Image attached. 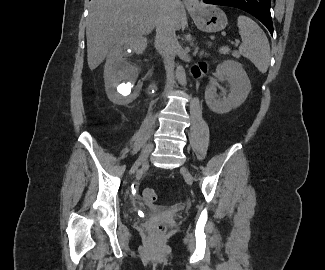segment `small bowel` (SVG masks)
Listing matches in <instances>:
<instances>
[{
	"mask_svg": "<svg viewBox=\"0 0 325 270\" xmlns=\"http://www.w3.org/2000/svg\"><path fill=\"white\" fill-rule=\"evenodd\" d=\"M205 71H206V65L205 63L202 62L193 65L191 68V72L195 77H200Z\"/></svg>",
	"mask_w": 325,
	"mask_h": 270,
	"instance_id": "1",
	"label": "small bowel"
}]
</instances>
